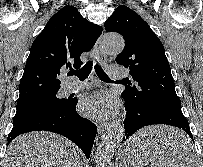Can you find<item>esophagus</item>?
<instances>
[{"label": "esophagus", "instance_id": "obj_1", "mask_svg": "<svg viewBox=\"0 0 203 167\" xmlns=\"http://www.w3.org/2000/svg\"><path fill=\"white\" fill-rule=\"evenodd\" d=\"M95 49L97 51V55H98V59H99L100 63L102 65H106L108 57L102 47V35L97 40ZM109 126H110V124L107 122L98 124V126H97L98 132L103 133L105 130H107L109 128Z\"/></svg>", "mask_w": 203, "mask_h": 167}]
</instances>
